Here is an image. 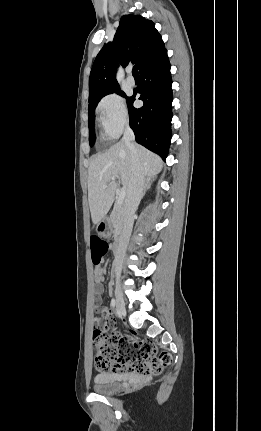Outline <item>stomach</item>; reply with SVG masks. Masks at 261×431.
<instances>
[{
    "label": "stomach",
    "mask_w": 261,
    "mask_h": 431,
    "mask_svg": "<svg viewBox=\"0 0 261 431\" xmlns=\"http://www.w3.org/2000/svg\"><path fill=\"white\" fill-rule=\"evenodd\" d=\"M96 231L103 237H109L112 234V224L108 218H103L96 224Z\"/></svg>",
    "instance_id": "0dacf381"
}]
</instances>
